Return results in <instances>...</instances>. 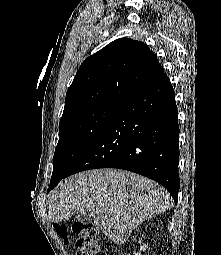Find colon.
Here are the masks:
<instances>
[{"instance_id": "1", "label": "colon", "mask_w": 221, "mask_h": 255, "mask_svg": "<svg viewBox=\"0 0 221 255\" xmlns=\"http://www.w3.org/2000/svg\"><path fill=\"white\" fill-rule=\"evenodd\" d=\"M56 233L65 245L69 244V232L76 236V255H106L100 245L97 229L88 222L77 221L71 228L65 224H56Z\"/></svg>"}]
</instances>
